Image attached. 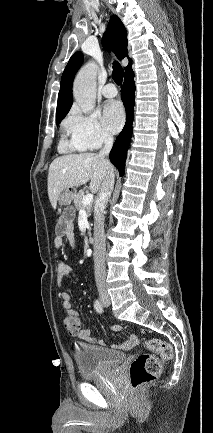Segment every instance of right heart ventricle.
I'll return each instance as SVG.
<instances>
[{"label":"right heart ventricle","mask_w":213,"mask_h":433,"mask_svg":"<svg viewBox=\"0 0 213 433\" xmlns=\"http://www.w3.org/2000/svg\"><path fill=\"white\" fill-rule=\"evenodd\" d=\"M59 149L63 152L72 151V150H77V151L85 150V149L75 145L72 140L67 141L65 138L61 139V141L59 143Z\"/></svg>","instance_id":"1"}]
</instances>
